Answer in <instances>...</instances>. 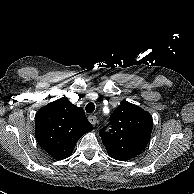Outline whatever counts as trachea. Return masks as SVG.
<instances>
[{
  "mask_svg": "<svg viewBox=\"0 0 194 194\" xmlns=\"http://www.w3.org/2000/svg\"><path fill=\"white\" fill-rule=\"evenodd\" d=\"M85 110H86L87 113H93L94 110H95V105H94V103H92V102L88 103V104L86 105V107H85Z\"/></svg>",
  "mask_w": 194,
  "mask_h": 194,
  "instance_id": "3493384b",
  "label": "trachea"
}]
</instances>
